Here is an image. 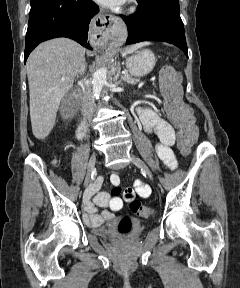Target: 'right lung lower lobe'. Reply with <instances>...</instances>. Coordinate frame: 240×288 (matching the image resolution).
Masks as SVG:
<instances>
[{
    "instance_id": "98d812e1",
    "label": "right lung lower lobe",
    "mask_w": 240,
    "mask_h": 288,
    "mask_svg": "<svg viewBox=\"0 0 240 288\" xmlns=\"http://www.w3.org/2000/svg\"><path fill=\"white\" fill-rule=\"evenodd\" d=\"M98 12L92 0H40L31 5L24 62L39 43L57 37L71 38L92 49L87 42L88 29Z\"/></svg>"
}]
</instances>
